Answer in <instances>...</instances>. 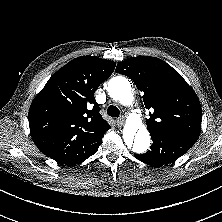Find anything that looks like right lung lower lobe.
<instances>
[{"instance_id": "1", "label": "right lung lower lobe", "mask_w": 222, "mask_h": 222, "mask_svg": "<svg viewBox=\"0 0 222 222\" xmlns=\"http://www.w3.org/2000/svg\"><path fill=\"white\" fill-rule=\"evenodd\" d=\"M97 150H98V149H97ZM97 150H96L93 154H95V153L97 152ZM93 154H92V155H93Z\"/></svg>"}]
</instances>
